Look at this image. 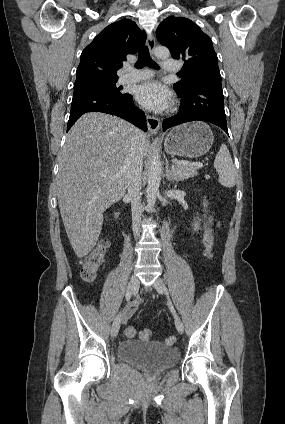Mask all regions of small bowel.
I'll return each instance as SVG.
<instances>
[{"label": "small bowel", "mask_w": 285, "mask_h": 424, "mask_svg": "<svg viewBox=\"0 0 285 424\" xmlns=\"http://www.w3.org/2000/svg\"><path fill=\"white\" fill-rule=\"evenodd\" d=\"M141 303L140 300H136L132 303L130 308H127L126 311V315H127V319L124 321V323H126L128 321V319L130 318L133 308L137 307L139 304Z\"/></svg>", "instance_id": "c3829d8e"}]
</instances>
